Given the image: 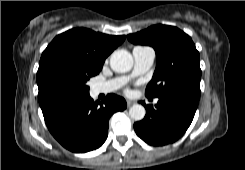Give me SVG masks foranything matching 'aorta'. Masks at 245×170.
<instances>
[{
  "mask_svg": "<svg viewBox=\"0 0 245 170\" xmlns=\"http://www.w3.org/2000/svg\"><path fill=\"white\" fill-rule=\"evenodd\" d=\"M110 66L115 72H128L133 67V57L127 50H116L111 54ZM145 114L146 110L140 104H134L129 110L130 117L135 121L142 120L145 117Z\"/></svg>",
  "mask_w": 245,
  "mask_h": 170,
  "instance_id": "obj_1",
  "label": "aorta"
}]
</instances>
